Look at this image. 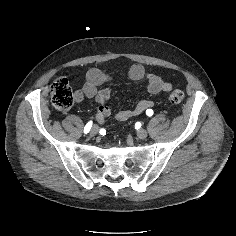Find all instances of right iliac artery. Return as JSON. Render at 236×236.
Segmentation results:
<instances>
[{
	"instance_id": "1",
	"label": "right iliac artery",
	"mask_w": 236,
	"mask_h": 236,
	"mask_svg": "<svg viewBox=\"0 0 236 236\" xmlns=\"http://www.w3.org/2000/svg\"><path fill=\"white\" fill-rule=\"evenodd\" d=\"M92 127V121H89L86 126L84 127V133L87 134Z\"/></svg>"
}]
</instances>
